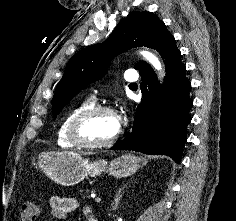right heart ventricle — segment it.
<instances>
[{"label":"right heart ventricle","instance_id":"e07e8e85","mask_svg":"<svg viewBox=\"0 0 236 221\" xmlns=\"http://www.w3.org/2000/svg\"><path fill=\"white\" fill-rule=\"evenodd\" d=\"M93 105L91 100H85L66 113L57 129V144L63 149H73L76 146L68 138V127L74 116L81 110Z\"/></svg>","mask_w":236,"mask_h":221}]
</instances>
